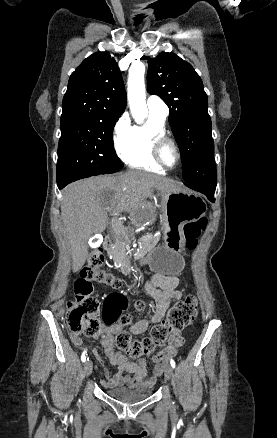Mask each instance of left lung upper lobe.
I'll return each instance as SVG.
<instances>
[{"label":"left lung upper lobe","instance_id":"5c2ea615","mask_svg":"<svg viewBox=\"0 0 277 438\" xmlns=\"http://www.w3.org/2000/svg\"><path fill=\"white\" fill-rule=\"evenodd\" d=\"M147 86L170 109L169 122L178 143L186 185L216 188L214 142L208 98L193 67L174 53L148 59Z\"/></svg>","mask_w":277,"mask_h":438}]
</instances>
